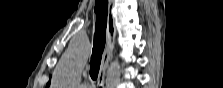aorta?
<instances>
[{"mask_svg":"<svg viewBox=\"0 0 223 88\" xmlns=\"http://www.w3.org/2000/svg\"><path fill=\"white\" fill-rule=\"evenodd\" d=\"M89 56V48L83 41H75L62 55L53 77L55 88H75ZM121 66L113 61L106 75V87L114 88L120 82Z\"/></svg>","mask_w":223,"mask_h":88,"instance_id":"762f6f07","label":"aorta"}]
</instances>
